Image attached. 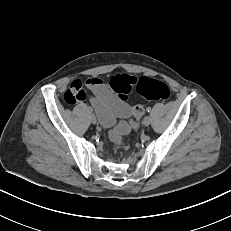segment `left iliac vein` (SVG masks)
<instances>
[{"instance_id":"4c4485c4","label":"left iliac vein","mask_w":231,"mask_h":231,"mask_svg":"<svg viewBox=\"0 0 231 231\" xmlns=\"http://www.w3.org/2000/svg\"><path fill=\"white\" fill-rule=\"evenodd\" d=\"M142 123H143V125H145V126H149L150 123H151V118H150V116H145L144 119H143V121H142Z\"/></svg>"}]
</instances>
